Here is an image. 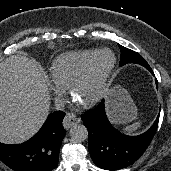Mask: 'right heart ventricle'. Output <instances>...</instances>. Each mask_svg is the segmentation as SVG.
Listing matches in <instances>:
<instances>
[{"label": "right heart ventricle", "mask_w": 171, "mask_h": 171, "mask_svg": "<svg viewBox=\"0 0 171 171\" xmlns=\"http://www.w3.org/2000/svg\"><path fill=\"white\" fill-rule=\"evenodd\" d=\"M95 50L73 51L58 56L51 67V77L55 84L68 88L73 78L84 67Z\"/></svg>", "instance_id": "right-heart-ventricle-1"}]
</instances>
